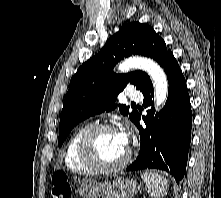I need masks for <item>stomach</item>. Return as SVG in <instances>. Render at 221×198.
<instances>
[{"mask_svg": "<svg viewBox=\"0 0 221 198\" xmlns=\"http://www.w3.org/2000/svg\"><path fill=\"white\" fill-rule=\"evenodd\" d=\"M139 189L135 179L118 177L105 183L83 179L78 184L77 192L81 198H132Z\"/></svg>", "mask_w": 221, "mask_h": 198, "instance_id": "stomach-1", "label": "stomach"}]
</instances>
